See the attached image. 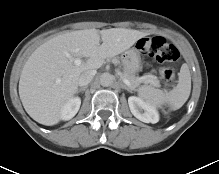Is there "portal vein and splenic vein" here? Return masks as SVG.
<instances>
[{
	"label": "portal vein and splenic vein",
	"instance_id": "18ae733b",
	"mask_svg": "<svg viewBox=\"0 0 219 174\" xmlns=\"http://www.w3.org/2000/svg\"><path fill=\"white\" fill-rule=\"evenodd\" d=\"M66 56L71 60V61H74V63L76 64V65H80L81 64V59L80 58H73L70 54H66ZM141 79H146L145 77H141ZM124 83L126 84V85H130V82L127 80V79H125L124 80Z\"/></svg>",
	"mask_w": 219,
	"mask_h": 174
}]
</instances>
